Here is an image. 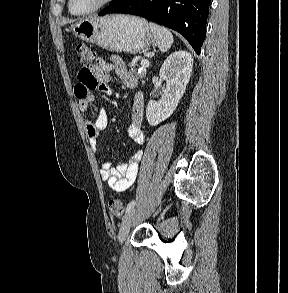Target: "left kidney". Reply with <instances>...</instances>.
Returning <instances> with one entry per match:
<instances>
[{"mask_svg":"<svg viewBox=\"0 0 288 293\" xmlns=\"http://www.w3.org/2000/svg\"><path fill=\"white\" fill-rule=\"evenodd\" d=\"M192 68V55L186 51H176L164 61L159 75L166 81V88L161 99L149 101L146 108V118L151 126L158 125L172 115L185 93Z\"/></svg>","mask_w":288,"mask_h":293,"instance_id":"1","label":"left kidney"}]
</instances>
